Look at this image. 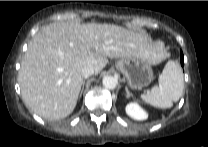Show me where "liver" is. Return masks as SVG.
Returning <instances> with one entry per match:
<instances>
[{
	"instance_id": "obj_1",
	"label": "liver",
	"mask_w": 208,
	"mask_h": 147,
	"mask_svg": "<svg viewBox=\"0 0 208 147\" xmlns=\"http://www.w3.org/2000/svg\"><path fill=\"white\" fill-rule=\"evenodd\" d=\"M141 58L156 65L165 57L163 44L143 33L111 24L54 23L31 40L18 73L25 105L47 119L70 115L83 83L81 70L100 73L108 58Z\"/></svg>"
}]
</instances>
